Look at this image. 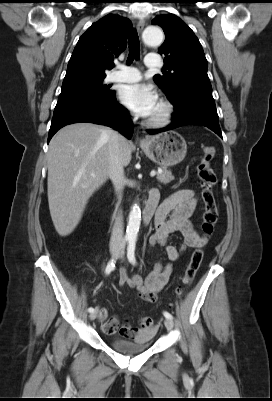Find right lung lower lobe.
Here are the masks:
<instances>
[{
  "label": "right lung lower lobe",
  "instance_id": "98d812e1",
  "mask_svg": "<svg viewBox=\"0 0 272 401\" xmlns=\"http://www.w3.org/2000/svg\"><path fill=\"white\" fill-rule=\"evenodd\" d=\"M80 122H90L112 127L128 139L133 134V124L127 110L117 102L116 96H114L104 104L82 103L54 111L48 142L63 126Z\"/></svg>",
  "mask_w": 272,
  "mask_h": 401
}]
</instances>
